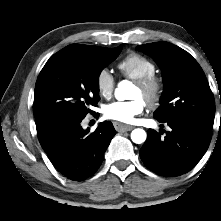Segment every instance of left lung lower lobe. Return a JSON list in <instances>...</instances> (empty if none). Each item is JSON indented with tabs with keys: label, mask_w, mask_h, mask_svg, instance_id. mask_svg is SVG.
I'll use <instances>...</instances> for the list:
<instances>
[{
	"label": "left lung lower lobe",
	"mask_w": 221,
	"mask_h": 221,
	"mask_svg": "<svg viewBox=\"0 0 221 221\" xmlns=\"http://www.w3.org/2000/svg\"><path fill=\"white\" fill-rule=\"evenodd\" d=\"M172 131L162 137L155 130L147 132L140 150L145 166L156 174L174 177L193 169L207 151L211 129L190 119L168 121Z\"/></svg>",
	"instance_id": "1"
}]
</instances>
